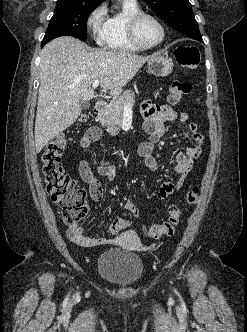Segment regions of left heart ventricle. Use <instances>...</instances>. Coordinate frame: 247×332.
Listing matches in <instances>:
<instances>
[{
	"label": "left heart ventricle",
	"instance_id": "obj_1",
	"mask_svg": "<svg viewBox=\"0 0 247 332\" xmlns=\"http://www.w3.org/2000/svg\"><path fill=\"white\" fill-rule=\"evenodd\" d=\"M137 35L141 43L151 45L160 40L161 29L154 19L145 17L139 22Z\"/></svg>",
	"mask_w": 247,
	"mask_h": 332
}]
</instances>
